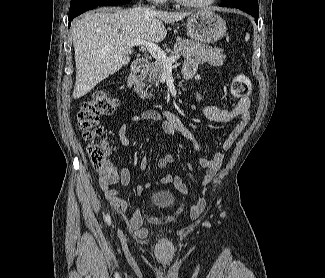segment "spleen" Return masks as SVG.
Masks as SVG:
<instances>
[{"mask_svg":"<svg viewBox=\"0 0 325 278\" xmlns=\"http://www.w3.org/2000/svg\"><path fill=\"white\" fill-rule=\"evenodd\" d=\"M249 38H250L249 34H246L245 39H246V40H249Z\"/></svg>","mask_w":325,"mask_h":278,"instance_id":"spleen-1","label":"spleen"}]
</instances>
